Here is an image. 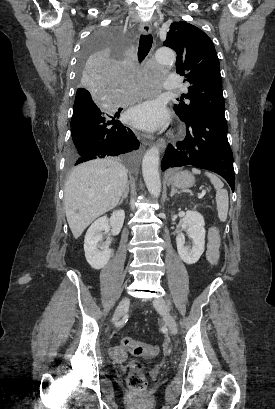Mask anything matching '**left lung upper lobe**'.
Wrapping results in <instances>:
<instances>
[{"mask_svg":"<svg viewBox=\"0 0 275 409\" xmlns=\"http://www.w3.org/2000/svg\"><path fill=\"white\" fill-rule=\"evenodd\" d=\"M164 46L177 53L176 72L191 85L189 92L174 105V111L183 121L205 113L224 116V98L219 60L211 39L199 28L187 22H173Z\"/></svg>","mask_w":275,"mask_h":409,"instance_id":"1","label":"left lung upper lobe"}]
</instances>
